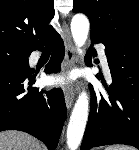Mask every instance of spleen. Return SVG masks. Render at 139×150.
Instances as JSON below:
<instances>
[{
	"label": "spleen",
	"instance_id": "spleen-1",
	"mask_svg": "<svg viewBox=\"0 0 139 150\" xmlns=\"http://www.w3.org/2000/svg\"><path fill=\"white\" fill-rule=\"evenodd\" d=\"M105 150H134L128 146H109Z\"/></svg>",
	"mask_w": 139,
	"mask_h": 150
}]
</instances>
